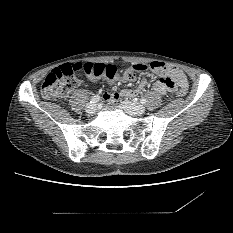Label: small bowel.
<instances>
[{"label":"small bowel","mask_w":233,"mask_h":233,"mask_svg":"<svg viewBox=\"0 0 233 233\" xmlns=\"http://www.w3.org/2000/svg\"><path fill=\"white\" fill-rule=\"evenodd\" d=\"M154 66L155 72L163 77L154 84V90L158 94H174L178 87L182 88L188 86L185 74L177 67L162 62H155ZM111 80L123 81L124 78L116 74ZM147 82L148 78L145 77L140 81L138 89H123L119 92L106 93L103 98L109 103H114L123 97H135L139 94L140 90L146 87Z\"/></svg>","instance_id":"small-bowel-1"}]
</instances>
